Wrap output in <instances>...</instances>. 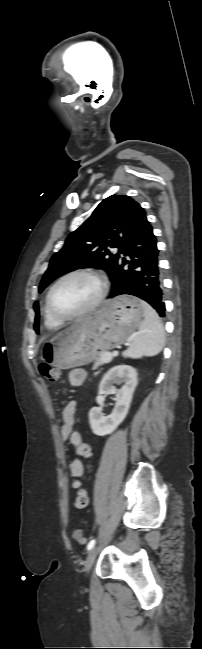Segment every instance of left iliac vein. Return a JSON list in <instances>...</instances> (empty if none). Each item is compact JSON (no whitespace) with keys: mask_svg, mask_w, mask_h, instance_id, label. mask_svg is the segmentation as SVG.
<instances>
[{"mask_svg":"<svg viewBox=\"0 0 202 649\" xmlns=\"http://www.w3.org/2000/svg\"><path fill=\"white\" fill-rule=\"evenodd\" d=\"M96 555H97V547H93L89 551L87 559L85 561V570H86L87 573L90 572V570H91V568L93 566V563L95 561Z\"/></svg>","mask_w":202,"mask_h":649,"instance_id":"1","label":"left iliac vein"}]
</instances>
